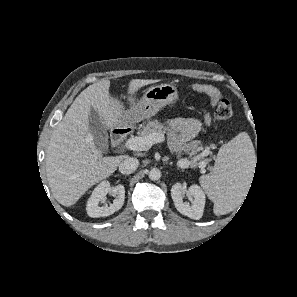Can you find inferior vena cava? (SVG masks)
<instances>
[{
    "instance_id": "1",
    "label": "inferior vena cava",
    "mask_w": 297,
    "mask_h": 297,
    "mask_svg": "<svg viewBox=\"0 0 297 297\" xmlns=\"http://www.w3.org/2000/svg\"><path fill=\"white\" fill-rule=\"evenodd\" d=\"M139 165V161L133 157L125 158L119 165V171L122 174H131L133 173Z\"/></svg>"
}]
</instances>
